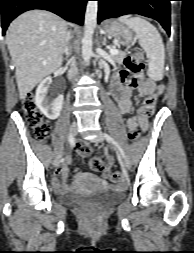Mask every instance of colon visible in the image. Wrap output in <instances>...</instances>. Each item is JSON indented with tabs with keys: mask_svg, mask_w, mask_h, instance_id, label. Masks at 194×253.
Returning a JSON list of instances; mask_svg holds the SVG:
<instances>
[{
	"mask_svg": "<svg viewBox=\"0 0 194 253\" xmlns=\"http://www.w3.org/2000/svg\"><path fill=\"white\" fill-rule=\"evenodd\" d=\"M124 65L128 72H131L136 76H141L144 70L143 57L140 53H135L126 57L124 60ZM154 105L155 98H147L139 107V112L144 115H150L153 112ZM22 110L24 112L26 122L33 129L34 136L40 141L47 140L51 127L42 113L38 110L32 94H28L23 99ZM129 136L130 139L137 140L139 137L138 129L130 130ZM90 151L91 148L88 143L84 141L77 143L76 152L79 156L85 157L90 153ZM89 167L93 171H101L103 169V160L98 156H94L89 161ZM108 178L112 183H120L123 181V175L119 171L109 172Z\"/></svg>",
	"mask_w": 194,
	"mask_h": 253,
	"instance_id": "obj_1",
	"label": "colon"
}]
</instances>
